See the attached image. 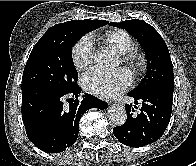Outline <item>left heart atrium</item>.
Here are the masks:
<instances>
[{"label": "left heart atrium", "instance_id": "39dd6f15", "mask_svg": "<svg viewBox=\"0 0 196 166\" xmlns=\"http://www.w3.org/2000/svg\"><path fill=\"white\" fill-rule=\"evenodd\" d=\"M132 84V77L125 70L104 71L92 69L82 77L84 89L94 95L112 97L125 91Z\"/></svg>", "mask_w": 196, "mask_h": 166}]
</instances>
